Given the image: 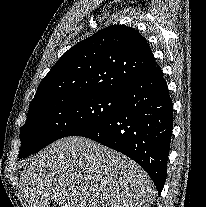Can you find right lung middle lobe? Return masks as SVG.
Listing matches in <instances>:
<instances>
[{
    "mask_svg": "<svg viewBox=\"0 0 206 207\" xmlns=\"http://www.w3.org/2000/svg\"><path fill=\"white\" fill-rule=\"evenodd\" d=\"M122 101L123 94L73 95L51 98L29 107L20 130L19 157L101 123L120 108Z\"/></svg>",
    "mask_w": 206,
    "mask_h": 207,
    "instance_id": "right-lung-middle-lobe-1",
    "label": "right lung middle lobe"
}]
</instances>
